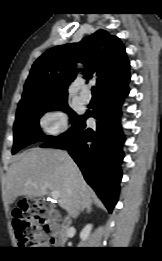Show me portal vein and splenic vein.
<instances>
[{"label":"portal vein and splenic vein","mask_w":162,"mask_h":261,"mask_svg":"<svg viewBox=\"0 0 162 261\" xmlns=\"http://www.w3.org/2000/svg\"><path fill=\"white\" fill-rule=\"evenodd\" d=\"M32 185H35V183H32ZM50 196L54 199V200H58L60 197V193L58 191H51L50 192Z\"/></svg>","instance_id":"portal-vein-and-splenic-vein-1"}]
</instances>
